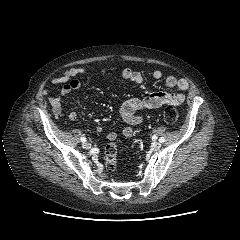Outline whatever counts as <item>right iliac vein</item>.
Here are the masks:
<instances>
[{
	"label": "right iliac vein",
	"mask_w": 240,
	"mask_h": 240,
	"mask_svg": "<svg viewBox=\"0 0 240 240\" xmlns=\"http://www.w3.org/2000/svg\"><path fill=\"white\" fill-rule=\"evenodd\" d=\"M82 146L84 149H90L92 145L89 142H84Z\"/></svg>",
	"instance_id": "63e3f726"
}]
</instances>
